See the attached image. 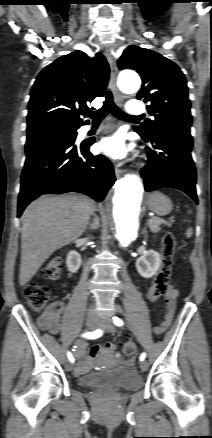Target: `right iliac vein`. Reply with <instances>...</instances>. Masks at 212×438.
<instances>
[{
    "label": "right iliac vein",
    "instance_id": "right-iliac-vein-1",
    "mask_svg": "<svg viewBox=\"0 0 212 438\" xmlns=\"http://www.w3.org/2000/svg\"><path fill=\"white\" fill-rule=\"evenodd\" d=\"M98 324H99V320H98L96 315L90 314V315L87 316V318H86V325H87L88 328L95 329V328L98 327ZM65 367H66V369L68 371L73 370V364L71 362H69V361L66 362ZM75 375H76V373H75Z\"/></svg>",
    "mask_w": 212,
    "mask_h": 438
}]
</instances>
